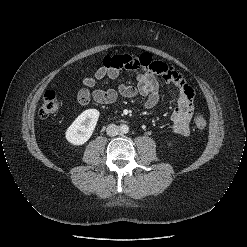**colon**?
Returning <instances> with one entry per match:
<instances>
[{"mask_svg":"<svg viewBox=\"0 0 247 247\" xmlns=\"http://www.w3.org/2000/svg\"><path fill=\"white\" fill-rule=\"evenodd\" d=\"M61 102L56 93L48 90L44 93L42 103L39 109V115L42 118H48L57 114L60 110ZM194 125L198 129H204L207 126V119L204 114L196 113L194 116Z\"/></svg>","mask_w":247,"mask_h":247,"instance_id":"colon-1","label":"colon"}]
</instances>
